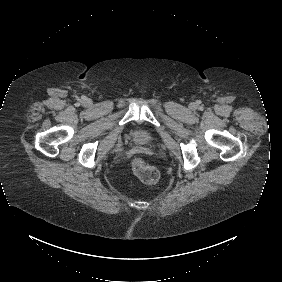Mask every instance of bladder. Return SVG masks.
Here are the masks:
<instances>
[{
    "label": "bladder",
    "instance_id": "obj_1",
    "mask_svg": "<svg viewBox=\"0 0 282 282\" xmlns=\"http://www.w3.org/2000/svg\"><path fill=\"white\" fill-rule=\"evenodd\" d=\"M133 138L139 144H146L151 140V134L146 130L140 129L134 132Z\"/></svg>",
    "mask_w": 282,
    "mask_h": 282
}]
</instances>
